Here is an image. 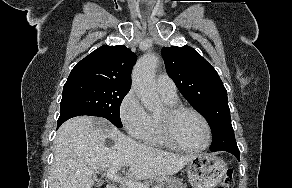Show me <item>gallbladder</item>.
Segmentation results:
<instances>
[{"label":"gallbladder","mask_w":292,"mask_h":188,"mask_svg":"<svg viewBox=\"0 0 292 188\" xmlns=\"http://www.w3.org/2000/svg\"><path fill=\"white\" fill-rule=\"evenodd\" d=\"M103 183L102 182H98V184H95V187H100Z\"/></svg>","instance_id":"1"}]
</instances>
